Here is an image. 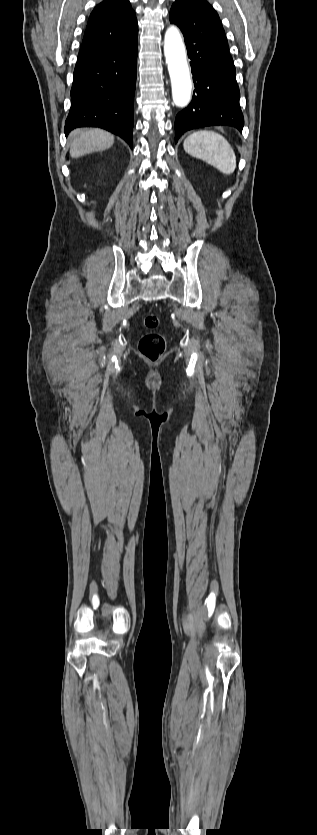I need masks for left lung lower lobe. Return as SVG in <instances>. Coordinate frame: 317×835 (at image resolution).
Masks as SVG:
<instances>
[{
    "label": "left lung lower lobe",
    "instance_id": "obj_1",
    "mask_svg": "<svg viewBox=\"0 0 317 835\" xmlns=\"http://www.w3.org/2000/svg\"><path fill=\"white\" fill-rule=\"evenodd\" d=\"M182 17L170 14L181 29L191 59L195 90L191 103L175 120V142L186 131L214 125L242 130L244 118L235 66L218 14L188 3L177 5Z\"/></svg>",
    "mask_w": 317,
    "mask_h": 835
}]
</instances>
